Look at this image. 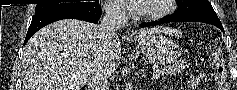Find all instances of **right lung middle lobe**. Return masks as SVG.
Listing matches in <instances>:
<instances>
[{"mask_svg":"<svg viewBox=\"0 0 237 90\" xmlns=\"http://www.w3.org/2000/svg\"><path fill=\"white\" fill-rule=\"evenodd\" d=\"M96 3H99V2L96 1V2H88V3L79 2V3H60V4H37L36 9H35V14H41V13L49 12V11L56 10L59 8L68 7V6H82V5L91 6Z\"/></svg>","mask_w":237,"mask_h":90,"instance_id":"dd1d6c3e","label":"right lung middle lobe"}]
</instances>
